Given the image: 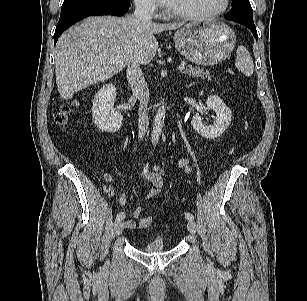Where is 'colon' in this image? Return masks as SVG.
<instances>
[{
  "mask_svg": "<svg viewBox=\"0 0 307 301\" xmlns=\"http://www.w3.org/2000/svg\"><path fill=\"white\" fill-rule=\"evenodd\" d=\"M71 113V105L62 104L57 107L54 114V121L59 126H65L69 122V117ZM153 218L151 216H145L140 221L141 228H148L151 226Z\"/></svg>",
  "mask_w": 307,
  "mask_h": 301,
  "instance_id": "obj_1",
  "label": "colon"
}]
</instances>
